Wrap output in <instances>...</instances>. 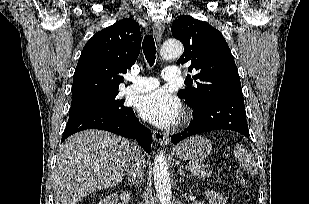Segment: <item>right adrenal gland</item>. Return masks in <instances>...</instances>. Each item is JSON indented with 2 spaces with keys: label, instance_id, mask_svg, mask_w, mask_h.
Here are the masks:
<instances>
[{
  "label": "right adrenal gland",
  "instance_id": "obj_1",
  "mask_svg": "<svg viewBox=\"0 0 309 204\" xmlns=\"http://www.w3.org/2000/svg\"><path fill=\"white\" fill-rule=\"evenodd\" d=\"M131 182V181H130ZM135 184V186H138V185H140L141 184V182H139L138 184L137 183H134ZM130 187H132V184H130Z\"/></svg>",
  "mask_w": 309,
  "mask_h": 204
}]
</instances>
